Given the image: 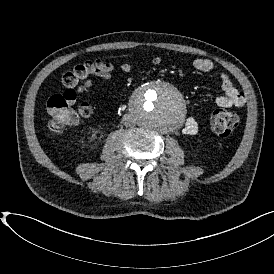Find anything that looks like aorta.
Returning a JSON list of instances; mask_svg holds the SVG:
<instances>
[{
    "label": "aorta",
    "mask_w": 274,
    "mask_h": 274,
    "mask_svg": "<svg viewBox=\"0 0 274 274\" xmlns=\"http://www.w3.org/2000/svg\"><path fill=\"white\" fill-rule=\"evenodd\" d=\"M136 124L161 133L180 127L186 115L182 94L172 85L154 81L139 89L130 101Z\"/></svg>",
    "instance_id": "1"
}]
</instances>
